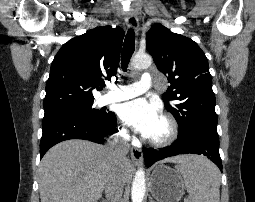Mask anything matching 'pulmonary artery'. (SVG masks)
<instances>
[{
  "label": "pulmonary artery",
  "instance_id": "1",
  "mask_svg": "<svg viewBox=\"0 0 255 202\" xmlns=\"http://www.w3.org/2000/svg\"><path fill=\"white\" fill-rule=\"evenodd\" d=\"M152 86V77L144 73L139 82L121 85L101 98V104L106 105L113 102H120L139 96Z\"/></svg>",
  "mask_w": 255,
  "mask_h": 202
}]
</instances>
